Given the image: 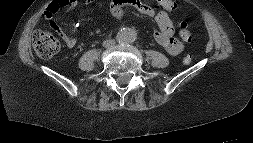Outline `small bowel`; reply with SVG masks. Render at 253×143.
I'll list each match as a JSON object with an SVG mask.
<instances>
[{
	"label": "small bowel",
	"instance_id": "c3829d8e",
	"mask_svg": "<svg viewBox=\"0 0 253 143\" xmlns=\"http://www.w3.org/2000/svg\"><path fill=\"white\" fill-rule=\"evenodd\" d=\"M110 13L116 22H122L125 19L124 7H130L138 13L152 17L158 26L154 36L156 41L164 50L172 56L180 54L184 49V43L174 37V27L169 13L174 11L176 6L172 0H156L155 5L146 4L140 0H109ZM54 14L46 11V18L49 20V26L56 30L68 48L76 45L75 38L69 36L65 30L52 21ZM184 40V39H183Z\"/></svg>",
	"mask_w": 253,
	"mask_h": 143
}]
</instances>
